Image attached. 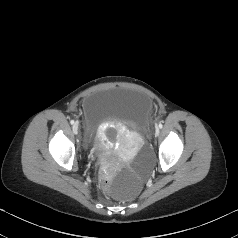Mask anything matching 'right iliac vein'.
<instances>
[{
  "label": "right iliac vein",
  "mask_w": 238,
  "mask_h": 238,
  "mask_svg": "<svg viewBox=\"0 0 238 238\" xmlns=\"http://www.w3.org/2000/svg\"><path fill=\"white\" fill-rule=\"evenodd\" d=\"M73 132L75 133V134H77L78 133V128H79V123L78 122H75L74 124H73Z\"/></svg>",
  "instance_id": "63e3f726"
}]
</instances>
